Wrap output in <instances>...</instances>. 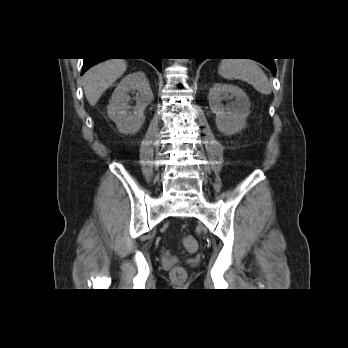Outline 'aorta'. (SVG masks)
Here are the masks:
<instances>
[{"label": "aorta", "instance_id": "762f6f07", "mask_svg": "<svg viewBox=\"0 0 348 348\" xmlns=\"http://www.w3.org/2000/svg\"><path fill=\"white\" fill-rule=\"evenodd\" d=\"M182 61L186 62V61H187V59H183Z\"/></svg>", "mask_w": 348, "mask_h": 348}]
</instances>
